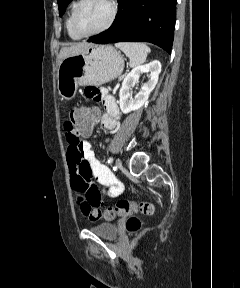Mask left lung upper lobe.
I'll use <instances>...</instances> for the list:
<instances>
[{
  "mask_svg": "<svg viewBox=\"0 0 240 288\" xmlns=\"http://www.w3.org/2000/svg\"><path fill=\"white\" fill-rule=\"evenodd\" d=\"M72 0H58L59 5V15L62 16L66 6L71 2Z\"/></svg>",
  "mask_w": 240,
  "mask_h": 288,
  "instance_id": "obj_1",
  "label": "left lung upper lobe"
}]
</instances>
